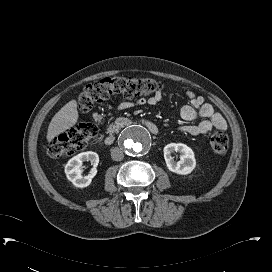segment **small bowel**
<instances>
[{
  "label": "small bowel",
  "mask_w": 272,
  "mask_h": 272,
  "mask_svg": "<svg viewBox=\"0 0 272 272\" xmlns=\"http://www.w3.org/2000/svg\"><path fill=\"white\" fill-rule=\"evenodd\" d=\"M189 104L184 105L180 109V116L185 121H193L197 118H200L201 121L196 125H187L180 128V131L187 135H206L212 130H226L227 123L224 117L216 112L213 106L205 102L204 97L197 96L195 93L188 91L186 93ZM161 93H156L154 96L149 99H140L133 102H124L120 105V109H128L135 105H156L161 101Z\"/></svg>",
  "instance_id": "small-bowel-1"
}]
</instances>
